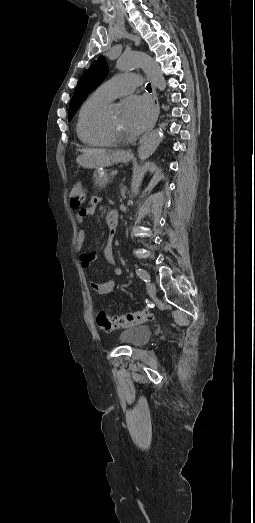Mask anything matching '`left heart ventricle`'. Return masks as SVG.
<instances>
[{
	"label": "left heart ventricle",
	"instance_id": "1",
	"mask_svg": "<svg viewBox=\"0 0 255 523\" xmlns=\"http://www.w3.org/2000/svg\"><path fill=\"white\" fill-rule=\"evenodd\" d=\"M108 116L110 118L111 123L113 124L114 128L120 136L124 138L132 137V133L130 132L126 119L124 117V112L121 109L108 110Z\"/></svg>",
	"mask_w": 255,
	"mask_h": 523
}]
</instances>
